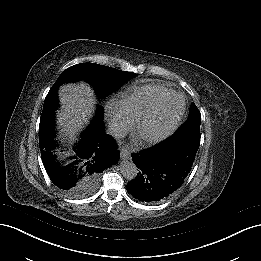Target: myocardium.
I'll return each mask as SVG.
<instances>
[{
	"label": "myocardium",
	"mask_w": 261,
	"mask_h": 261,
	"mask_svg": "<svg viewBox=\"0 0 261 261\" xmlns=\"http://www.w3.org/2000/svg\"><path fill=\"white\" fill-rule=\"evenodd\" d=\"M180 97L182 99V108L181 111L179 113V115L177 116V118L165 129L161 130L160 132L154 133V134H144L141 131V127L144 124L145 120L153 113L158 112L160 109H162L164 107V105L172 98L174 97ZM186 110V99L185 96L180 93V92H173L171 95H169L168 97H166L161 103L160 105L153 110L150 113H147L143 116L140 117V119L135 123L134 128H133V135L135 137V141L142 145V144H152V143H157L160 142L164 139H166L167 137H169L179 126L183 115L185 113Z\"/></svg>",
	"instance_id": "1"
}]
</instances>
